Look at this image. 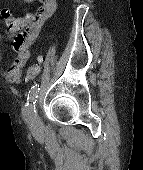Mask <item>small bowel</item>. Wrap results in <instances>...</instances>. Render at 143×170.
I'll list each match as a JSON object with an SVG mask.
<instances>
[{
	"label": "small bowel",
	"mask_w": 143,
	"mask_h": 170,
	"mask_svg": "<svg viewBox=\"0 0 143 170\" xmlns=\"http://www.w3.org/2000/svg\"><path fill=\"white\" fill-rule=\"evenodd\" d=\"M33 2L34 0H25ZM41 6L34 15H28L25 18H16L6 9L3 14L8 13L11 21L17 22L20 26L12 27L9 21L4 17L10 33H16L24 30V32L14 39L12 43L13 50L16 52L15 58L11 61L5 76L11 83H19L23 77V71L27 66L30 57V47L37 39L40 31L53 16L56 10V0H37Z\"/></svg>",
	"instance_id": "obj_1"
}]
</instances>
